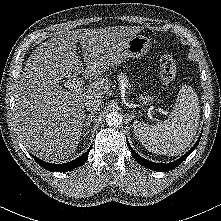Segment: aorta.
<instances>
[{
	"label": "aorta",
	"mask_w": 221,
	"mask_h": 221,
	"mask_svg": "<svg viewBox=\"0 0 221 221\" xmlns=\"http://www.w3.org/2000/svg\"><path fill=\"white\" fill-rule=\"evenodd\" d=\"M122 116L118 112H111L106 116V123L110 127H119L122 124Z\"/></svg>",
	"instance_id": "1"
}]
</instances>
